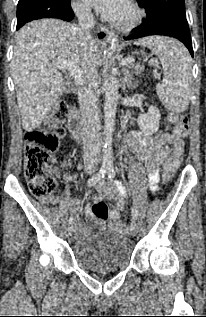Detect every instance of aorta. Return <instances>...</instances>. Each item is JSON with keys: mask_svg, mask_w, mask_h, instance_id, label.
<instances>
[{"mask_svg": "<svg viewBox=\"0 0 206 317\" xmlns=\"http://www.w3.org/2000/svg\"><path fill=\"white\" fill-rule=\"evenodd\" d=\"M105 104H104V154H103V166L110 167L113 165V153H112V135L115 125V117L117 110V101L119 98L118 93V80L112 70L111 75L105 81Z\"/></svg>", "mask_w": 206, "mask_h": 317, "instance_id": "aorta-1", "label": "aorta"}]
</instances>
